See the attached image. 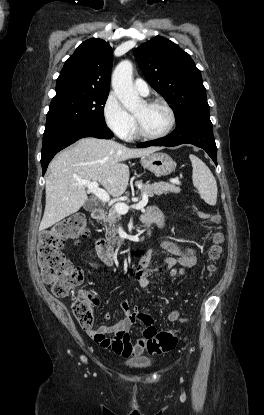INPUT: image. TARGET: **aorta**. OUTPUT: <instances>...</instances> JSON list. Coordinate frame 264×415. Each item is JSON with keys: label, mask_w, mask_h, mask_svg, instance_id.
I'll return each instance as SVG.
<instances>
[{"label": "aorta", "mask_w": 264, "mask_h": 415, "mask_svg": "<svg viewBox=\"0 0 264 415\" xmlns=\"http://www.w3.org/2000/svg\"><path fill=\"white\" fill-rule=\"evenodd\" d=\"M133 65L129 60L121 61L112 74V87L124 107L134 112L143 103L132 82Z\"/></svg>", "instance_id": "aorta-1"}]
</instances>
